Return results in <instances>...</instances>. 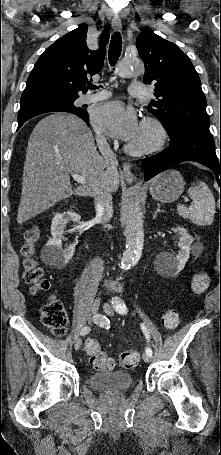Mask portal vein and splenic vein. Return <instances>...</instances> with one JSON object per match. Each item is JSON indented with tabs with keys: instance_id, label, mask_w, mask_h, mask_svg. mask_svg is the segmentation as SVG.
Wrapping results in <instances>:
<instances>
[{
	"instance_id": "obj_1",
	"label": "portal vein and splenic vein",
	"mask_w": 221,
	"mask_h": 455,
	"mask_svg": "<svg viewBox=\"0 0 221 455\" xmlns=\"http://www.w3.org/2000/svg\"><path fill=\"white\" fill-rule=\"evenodd\" d=\"M70 174L76 182L83 184V185L86 184L84 177L77 175L75 173H72V172Z\"/></svg>"
}]
</instances>
